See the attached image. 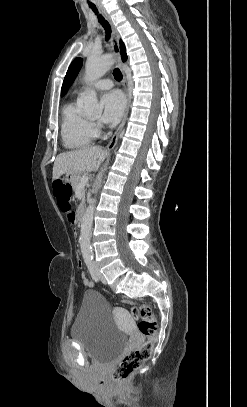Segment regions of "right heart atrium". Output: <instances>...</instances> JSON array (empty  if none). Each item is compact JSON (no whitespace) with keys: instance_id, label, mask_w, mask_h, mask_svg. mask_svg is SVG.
<instances>
[{"instance_id":"right-heart-atrium-1","label":"right heart atrium","mask_w":247,"mask_h":407,"mask_svg":"<svg viewBox=\"0 0 247 407\" xmlns=\"http://www.w3.org/2000/svg\"><path fill=\"white\" fill-rule=\"evenodd\" d=\"M93 127L96 128L97 126L94 124Z\"/></svg>"}]
</instances>
